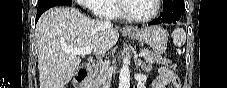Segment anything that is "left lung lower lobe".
<instances>
[{"mask_svg":"<svg viewBox=\"0 0 227 88\" xmlns=\"http://www.w3.org/2000/svg\"><path fill=\"white\" fill-rule=\"evenodd\" d=\"M185 12L184 0H163V13L161 16L149 23L148 25L160 23H176L179 21L181 15ZM141 25H139L140 27Z\"/></svg>","mask_w":227,"mask_h":88,"instance_id":"obj_1","label":"left lung lower lobe"}]
</instances>
